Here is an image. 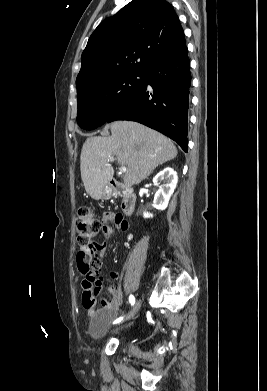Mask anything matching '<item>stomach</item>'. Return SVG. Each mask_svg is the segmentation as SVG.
<instances>
[{
	"instance_id": "obj_1",
	"label": "stomach",
	"mask_w": 267,
	"mask_h": 391,
	"mask_svg": "<svg viewBox=\"0 0 267 391\" xmlns=\"http://www.w3.org/2000/svg\"><path fill=\"white\" fill-rule=\"evenodd\" d=\"M112 195H113V189L110 186L107 185L102 189L101 192L102 199L110 198Z\"/></svg>"
}]
</instances>
